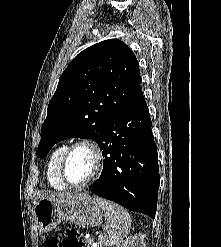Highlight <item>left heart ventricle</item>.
<instances>
[{"mask_svg": "<svg viewBox=\"0 0 221 247\" xmlns=\"http://www.w3.org/2000/svg\"><path fill=\"white\" fill-rule=\"evenodd\" d=\"M94 158L92 152L84 147L75 149L68 158L66 175L73 183H80L93 172Z\"/></svg>", "mask_w": 221, "mask_h": 247, "instance_id": "b2bd125f", "label": "left heart ventricle"}]
</instances>
